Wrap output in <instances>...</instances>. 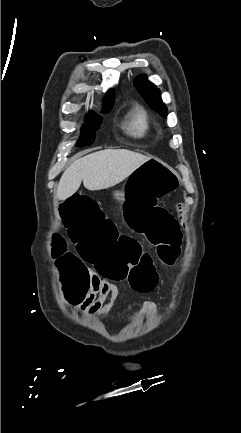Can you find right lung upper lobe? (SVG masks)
Here are the masks:
<instances>
[{"label":"right lung upper lobe","mask_w":241,"mask_h":433,"mask_svg":"<svg viewBox=\"0 0 241 433\" xmlns=\"http://www.w3.org/2000/svg\"><path fill=\"white\" fill-rule=\"evenodd\" d=\"M113 103H114V92H113V90L111 89V90L108 91V93H107V95H106V97H105V100H104V108H106V107L112 105Z\"/></svg>","instance_id":"obj_1"}]
</instances>
